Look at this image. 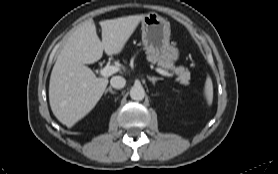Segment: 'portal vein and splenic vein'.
<instances>
[{"label":"portal vein and splenic vein","mask_w":278,"mask_h":174,"mask_svg":"<svg viewBox=\"0 0 278 174\" xmlns=\"http://www.w3.org/2000/svg\"><path fill=\"white\" fill-rule=\"evenodd\" d=\"M119 71V67L117 66H113V65H107L105 66L104 68H102L100 70V74L104 77H109L111 76L112 74L116 73ZM156 71L160 74H162L163 76H167V77H171L172 74L169 73L168 71L166 70H163V69H160V68H157Z\"/></svg>","instance_id":"portal-vein-and-splenic-vein-1"}]
</instances>
